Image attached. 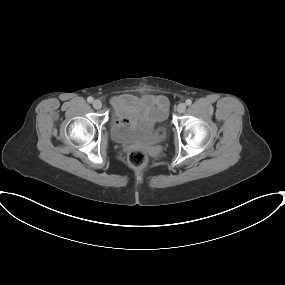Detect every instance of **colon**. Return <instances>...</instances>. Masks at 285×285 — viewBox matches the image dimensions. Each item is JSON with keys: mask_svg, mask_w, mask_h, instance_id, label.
<instances>
[{"mask_svg": "<svg viewBox=\"0 0 285 285\" xmlns=\"http://www.w3.org/2000/svg\"><path fill=\"white\" fill-rule=\"evenodd\" d=\"M158 132H163L162 129H158ZM128 163L137 169L143 168L148 163V156L147 154L140 149L131 150L127 156Z\"/></svg>", "mask_w": 285, "mask_h": 285, "instance_id": "obj_1", "label": "colon"}]
</instances>
